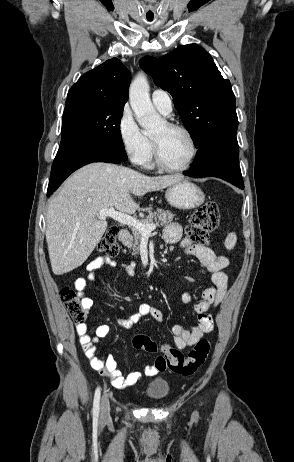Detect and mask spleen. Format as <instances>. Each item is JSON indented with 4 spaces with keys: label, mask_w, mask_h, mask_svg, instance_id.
Returning a JSON list of instances; mask_svg holds the SVG:
<instances>
[{
    "label": "spleen",
    "mask_w": 294,
    "mask_h": 462,
    "mask_svg": "<svg viewBox=\"0 0 294 462\" xmlns=\"http://www.w3.org/2000/svg\"><path fill=\"white\" fill-rule=\"evenodd\" d=\"M236 242H237V236L235 233L232 232L228 234V236L225 239L224 244L228 250H231L234 248Z\"/></svg>",
    "instance_id": "spleen-1"
}]
</instances>
